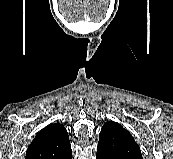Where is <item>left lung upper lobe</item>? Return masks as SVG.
<instances>
[{
  "label": "left lung upper lobe",
  "instance_id": "obj_1",
  "mask_svg": "<svg viewBox=\"0 0 173 159\" xmlns=\"http://www.w3.org/2000/svg\"><path fill=\"white\" fill-rule=\"evenodd\" d=\"M98 146L123 159H143L139 145L120 124L108 121L99 134Z\"/></svg>",
  "mask_w": 173,
  "mask_h": 159
}]
</instances>
